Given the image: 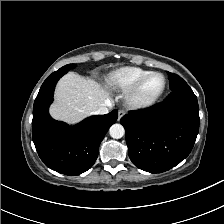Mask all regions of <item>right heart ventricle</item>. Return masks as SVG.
I'll return each instance as SVG.
<instances>
[{"label":"right heart ventricle","mask_w":224,"mask_h":224,"mask_svg":"<svg viewBox=\"0 0 224 224\" xmlns=\"http://www.w3.org/2000/svg\"><path fill=\"white\" fill-rule=\"evenodd\" d=\"M149 72L151 71L140 67H121L109 74L107 83L111 87L126 91L142 76Z\"/></svg>","instance_id":"obj_1"}]
</instances>
